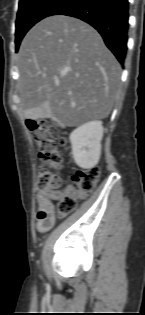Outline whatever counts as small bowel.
Wrapping results in <instances>:
<instances>
[{
	"label": "small bowel",
	"mask_w": 145,
	"mask_h": 315,
	"mask_svg": "<svg viewBox=\"0 0 145 315\" xmlns=\"http://www.w3.org/2000/svg\"><path fill=\"white\" fill-rule=\"evenodd\" d=\"M71 187L60 190H45L39 193L40 209L37 212V229L39 232H46L55 223V215L51 206L52 201L58 200L63 194H73ZM83 197V196H79Z\"/></svg>",
	"instance_id": "c3829d8e"
}]
</instances>
